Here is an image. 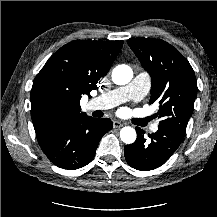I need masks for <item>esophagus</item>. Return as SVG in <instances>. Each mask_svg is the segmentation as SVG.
<instances>
[{
	"mask_svg": "<svg viewBox=\"0 0 217 217\" xmlns=\"http://www.w3.org/2000/svg\"><path fill=\"white\" fill-rule=\"evenodd\" d=\"M123 126V123H121L120 121L114 120L113 121V127L114 128H120Z\"/></svg>",
	"mask_w": 217,
	"mask_h": 217,
	"instance_id": "34e87169",
	"label": "esophagus"
}]
</instances>
